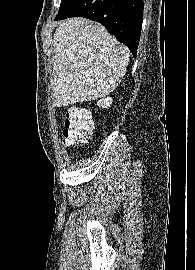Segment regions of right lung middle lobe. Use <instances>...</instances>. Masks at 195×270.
<instances>
[{
	"mask_svg": "<svg viewBox=\"0 0 195 270\" xmlns=\"http://www.w3.org/2000/svg\"><path fill=\"white\" fill-rule=\"evenodd\" d=\"M74 0H61L60 9L58 14L64 12Z\"/></svg>",
	"mask_w": 195,
	"mask_h": 270,
	"instance_id": "1",
	"label": "right lung middle lobe"
}]
</instances>
